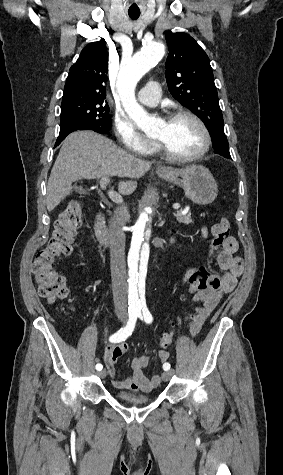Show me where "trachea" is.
Here are the masks:
<instances>
[{
	"label": "trachea",
	"mask_w": 283,
	"mask_h": 475,
	"mask_svg": "<svg viewBox=\"0 0 283 475\" xmlns=\"http://www.w3.org/2000/svg\"><path fill=\"white\" fill-rule=\"evenodd\" d=\"M128 15L132 20H137L140 17V12H130Z\"/></svg>",
	"instance_id": "3493384b"
}]
</instances>
